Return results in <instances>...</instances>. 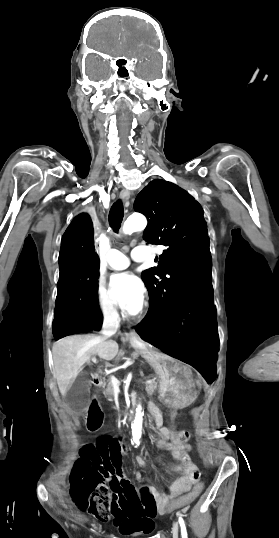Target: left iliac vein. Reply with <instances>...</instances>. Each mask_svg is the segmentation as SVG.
Returning <instances> with one entry per match:
<instances>
[{
  "label": "left iliac vein",
  "mask_w": 279,
  "mask_h": 538,
  "mask_svg": "<svg viewBox=\"0 0 279 538\" xmlns=\"http://www.w3.org/2000/svg\"><path fill=\"white\" fill-rule=\"evenodd\" d=\"M179 527L178 523L174 522L172 527L173 538H178Z\"/></svg>",
  "instance_id": "left-iliac-vein-1"
}]
</instances>
